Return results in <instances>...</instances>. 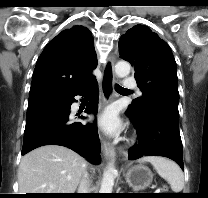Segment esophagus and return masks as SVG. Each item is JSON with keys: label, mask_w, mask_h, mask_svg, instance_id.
<instances>
[{"label": "esophagus", "mask_w": 208, "mask_h": 198, "mask_svg": "<svg viewBox=\"0 0 208 198\" xmlns=\"http://www.w3.org/2000/svg\"><path fill=\"white\" fill-rule=\"evenodd\" d=\"M114 83H115V74H114V58L110 57L107 62L104 64L102 71V79L100 83V91L105 103H108L114 94ZM102 140V150L106 160H113L115 158V149L114 147L105 139Z\"/></svg>", "instance_id": "esophagus-1"}]
</instances>
